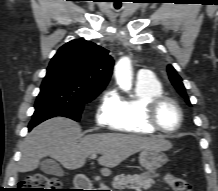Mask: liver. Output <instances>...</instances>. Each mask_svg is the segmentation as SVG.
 Wrapping results in <instances>:
<instances>
[{
  "label": "liver",
  "instance_id": "liver-1",
  "mask_svg": "<svg viewBox=\"0 0 218 191\" xmlns=\"http://www.w3.org/2000/svg\"><path fill=\"white\" fill-rule=\"evenodd\" d=\"M171 147L172 144L162 138L133 134L99 133L82 137L78 123L55 117L35 127L25 138L18 171L35 170L46 156L55 158L67 169H78L84 166L87 157L100 154L101 173L109 175L110 168L139 151H167Z\"/></svg>",
  "mask_w": 218,
  "mask_h": 191
}]
</instances>
